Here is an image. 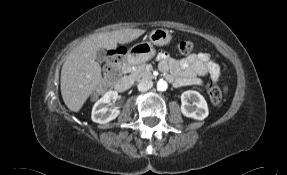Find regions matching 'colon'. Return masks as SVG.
<instances>
[{
    "label": "colon",
    "instance_id": "1",
    "mask_svg": "<svg viewBox=\"0 0 287 175\" xmlns=\"http://www.w3.org/2000/svg\"><path fill=\"white\" fill-rule=\"evenodd\" d=\"M194 49V44L191 41H182L178 45V50L181 54H189L193 51ZM125 54V50L123 48H119L114 51V55L117 58L122 57ZM112 76L109 81L115 82L119 79V72L118 70H113ZM207 92L208 96L213 104H219L222 100V94L219 88L214 84V82L209 79L207 82Z\"/></svg>",
    "mask_w": 287,
    "mask_h": 175
}]
</instances>
